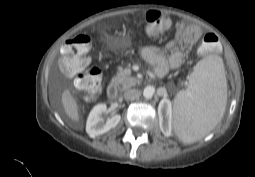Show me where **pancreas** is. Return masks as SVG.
<instances>
[{"label":"pancreas","instance_id":"1","mask_svg":"<svg viewBox=\"0 0 255 177\" xmlns=\"http://www.w3.org/2000/svg\"><path fill=\"white\" fill-rule=\"evenodd\" d=\"M137 83L139 80L132 77L128 69L120 70L111 80V84L121 91L135 86Z\"/></svg>","mask_w":255,"mask_h":177}]
</instances>
